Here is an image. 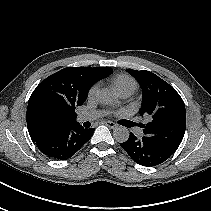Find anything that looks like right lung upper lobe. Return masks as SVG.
<instances>
[{"label": "right lung upper lobe", "mask_w": 211, "mask_h": 211, "mask_svg": "<svg viewBox=\"0 0 211 211\" xmlns=\"http://www.w3.org/2000/svg\"><path fill=\"white\" fill-rule=\"evenodd\" d=\"M111 67H67L44 79L33 91L27 107V128L36 141L54 129L76 122L90 87L112 72Z\"/></svg>", "instance_id": "1"}]
</instances>
